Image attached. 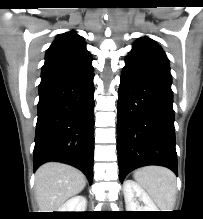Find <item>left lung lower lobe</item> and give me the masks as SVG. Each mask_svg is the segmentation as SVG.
<instances>
[{"label":"left lung lower lobe","mask_w":203,"mask_h":219,"mask_svg":"<svg viewBox=\"0 0 203 219\" xmlns=\"http://www.w3.org/2000/svg\"><path fill=\"white\" fill-rule=\"evenodd\" d=\"M125 62L117 103L120 181L147 165L164 166L177 175L170 70L133 58Z\"/></svg>","instance_id":"obj_1"}]
</instances>
